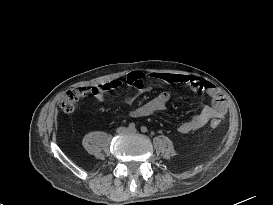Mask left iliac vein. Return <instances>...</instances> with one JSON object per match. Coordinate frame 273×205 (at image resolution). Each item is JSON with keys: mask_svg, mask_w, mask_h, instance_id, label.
<instances>
[{"mask_svg": "<svg viewBox=\"0 0 273 205\" xmlns=\"http://www.w3.org/2000/svg\"><path fill=\"white\" fill-rule=\"evenodd\" d=\"M136 132H137L136 129H129V130H128V133H136Z\"/></svg>", "mask_w": 273, "mask_h": 205, "instance_id": "obj_1", "label": "left iliac vein"}]
</instances>
